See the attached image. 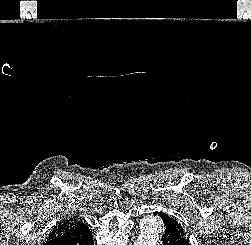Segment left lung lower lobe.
<instances>
[{
	"label": "left lung lower lobe",
	"instance_id": "0a47b994",
	"mask_svg": "<svg viewBox=\"0 0 251 245\" xmlns=\"http://www.w3.org/2000/svg\"><path fill=\"white\" fill-rule=\"evenodd\" d=\"M155 215H158L161 219L167 218L166 213L163 212H155ZM162 223H163L164 233L161 241L163 245H190L188 240L182 237L180 232L177 229H175V227H173L171 224L164 226V222Z\"/></svg>",
	"mask_w": 251,
	"mask_h": 245
}]
</instances>
